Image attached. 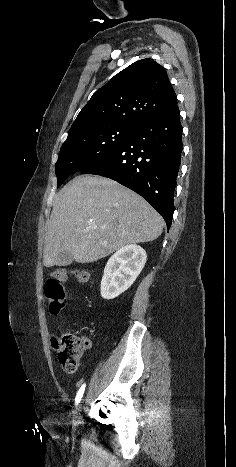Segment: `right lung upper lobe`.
I'll return each mask as SVG.
<instances>
[{
  "mask_svg": "<svg viewBox=\"0 0 236 467\" xmlns=\"http://www.w3.org/2000/svg\"><path fill=\"white\" fill-rule=\"evenodd\" d=\"M176 105L177 97L165 69L152 59H142L93 94L68 135L113 125L136 129Z\"/></svg>",
  "mask_w": 236,
  "mask_h": 467,
  "instance_id": "cb5924a9",
  "label": "right lung upper lobe"
}]
</instances>
